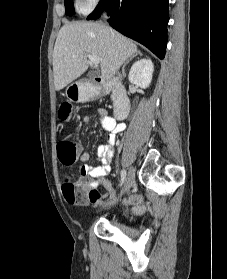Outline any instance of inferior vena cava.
<instances>
[{
	"label": "inferior vena cava",
	"instance_id": "obj_1",
	"mask_svg": "<svg viewBox=\"0 0 227 279\" xmlns=\"http://www.w3.org/2000/svg\"><path fill=\"white\" fill-rule=\"evenodd\" d=\"M119 78H121L122 76L120 74H118Z\"/></svg>",
	"mask_w": 227,
	"mask_h": 279
}]
</instances>
